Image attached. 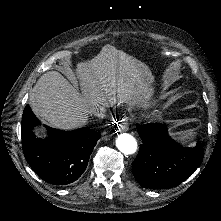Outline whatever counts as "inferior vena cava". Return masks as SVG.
I'll use <instances>...</instances> for the list:
<instances>
[{
	"mask_svg": "<svg viewBox=\"0 0 221 221\" xmlns=\"http://www.w3.org/2000/svg\"><path fill=\"white\" fill-rule=\"evenodd\" d=\"M91 113L94 116L103 119L106 116V108L103 105H97L91 109Z\"/></svg>",
	"mask_w": 221,
	"mask_h": 221,
	"instance_id": "inferior-vena-cava-1",
	"label": "inferior vena cava"
}]
</instances>
